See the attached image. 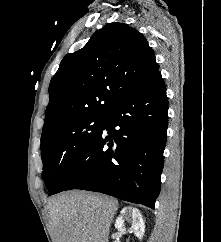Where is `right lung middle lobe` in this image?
Instances as JSON below:
<instances>
[{
	"label": "right lung middle lobe",
	"mask_w": 221,
	"mask_h": 242,
	"mask_svg": "<svg viewBox=\"0 0 221 242\" xmlns=\"http://www.w3.org/2000/svg\"><path fill=\"white\" fill-rule=\"evenodd\" d=\"M103 121V115L84 116L42 135V175L49 192L54 189L73 160L98 135Z\"/></svg>",
	"instance_id": "1"
}]
</instances>
